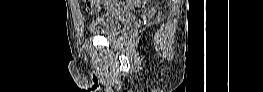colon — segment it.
Returning a JSON list of instances; mask_svg holds the SVG:
<instances>
[{
	"instance_id": "1",
	"label": "colon",
	"mask_w": 263,
	"mask_h": 92,
	"mask_svg": "<svg viewBox=\"0 0 263 92\" xmlns=\"http://www.w3.org/2000/svg\"><path fill=\"white\" fill-rule=\"evenodd\" d=\"M127 3H128L127 5L132 4V2H127ZM112 4H113V3H112ZM95 9H96V8H90L89 10L93 12V11H95Z\"/></svg>"
}]
</instances>
